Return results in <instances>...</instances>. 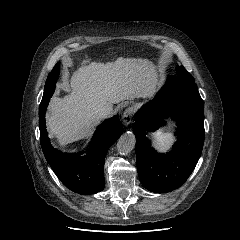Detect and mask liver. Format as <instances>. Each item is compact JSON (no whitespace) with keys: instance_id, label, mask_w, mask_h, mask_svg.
I'll return each mask as SVG.
<instances>
[{"instance_id":"1","label":"liver","mask_w":240,"mask_h":240,"mask_svg":"<svg viewBox=\"0 0 240 240\" xmlns=\"http://www.w3.org/2000/svg\"><path fill=\"white\" fill-rule=\"evenodd\" d=\"M158 84L154 65L143 59L118 58L113 63H83L70 78L71 93L53 97L49 103V132L61 144L78 141L90 134L98 122L92 107L139 97H151Z\"/></svg>"}]
</instances>
